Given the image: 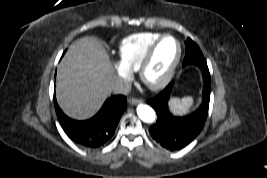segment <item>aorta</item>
<instances>
[{
	"label": "aorta",
	"mask_w": 267,
	"mask_h": 178,
	"mask_svg": "<svg viewBox=\"0 0 267 178\" xmlns=\"http://www.w3.org/2000/svg\"><path fill=\"white\" fill-rule=\"evenodd\" d=\"M137 114L139 118L145 123H152L156 119V114L153 108L145 104L138 105Z\"/></svg>",
	"instance_id": "1"
}]
</instances>
